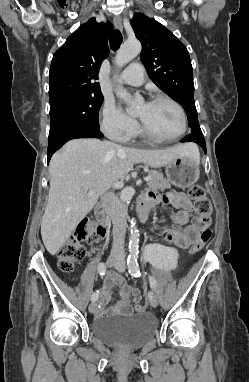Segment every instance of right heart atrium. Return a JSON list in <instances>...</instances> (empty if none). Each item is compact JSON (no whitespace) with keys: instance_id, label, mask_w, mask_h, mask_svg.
Returning <instances> with one entry per match:
<instances>
[{"instance_id":"d8ad5b80","label":"right heart atrium","mask_w":249,"mask_h":382,"mask_svg":"<svg viewBox=\"0 0 249 382\" xmlns=\"http://www.w3.org/2000/svg\"><path fill=\"white\" fill-rule=\"evenodd\" d=\"M101 129L110 138L128 141L136 135L138 124L125 114L113 101H105L101 114Z\"/></svg>"}]
</instances>
